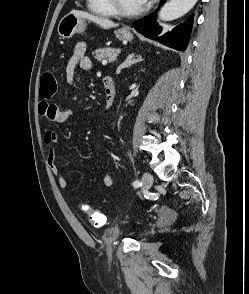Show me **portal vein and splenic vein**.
I'll return each instance as SVG.
<instances>
[{
  "instance_id": "18ae733b",
  "label": "portal vein and splenic vein",
  "mask_w": 249,
  "mask_h": 294,
  "mask_svg": "<svg viewBox=\"0 0 249 294\" xmlns=\"http://www.w3.org/2000/svg\"><path fill=\"white\" fill-rule=\"evenodd\" d=\"M114 59H115V57L112 56V57L109 58V61H112V60H114ZM107 63H108V60H103V61H102V64H103V65H107Z\"/></svg>"
}]
</instances>
